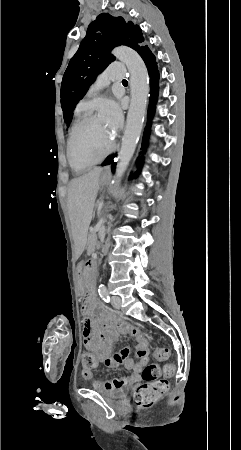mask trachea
Masks as SVG:
<instances>
[{
    "label": "trachea",
    "instance_id": "obj_1",
    "mask_svg": "<svg viewBox=\"0 0 241 450\" xmlns=\"http://www.w3.org/2000/svg\"><path fill=\"white\" fill-rule=\"evenodd\" d=\"M122 82H127V80H122Z\"/></svg>",
    "mask_w": 241,
    "mask_h": 450
}]
</instances>
